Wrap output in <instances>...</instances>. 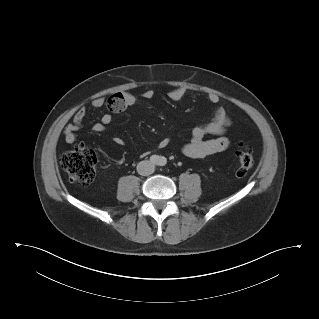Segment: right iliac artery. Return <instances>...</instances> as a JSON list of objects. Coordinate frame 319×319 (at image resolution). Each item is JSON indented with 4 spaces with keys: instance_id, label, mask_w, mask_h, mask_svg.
Instances as JSON below:
<instances>
[{
    "instance_id": "1",
    "label": "right iliac artery",
    "mask_w": 319,
    "mask_h": 319,
    "mask_svg": "<svg viewBox=\"0 0 319 319\" xmlns=\"http://www.w3.org/2000/svg\"><path fill=\"white\" fill-rule=\"evenodd\" d=\"M150 161H151V163H153V164H157L158 161H159V157L156 156V155H152V156L150 157Z\"/></svg>"
}]
</instances>
